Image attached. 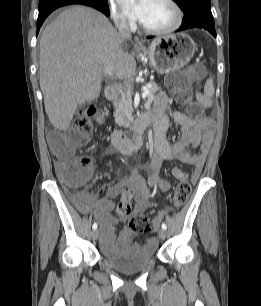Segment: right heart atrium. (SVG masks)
I'll return each mask as SVG.
<instances>
[{
	"label": "right heart atrium",
	"mask_w": 261,
	"mask_h": 306,
	"mask_svg": "<svg viewBox=\"0 0 261 306\" xmlns=\"http://www.w3.org/2000/svg\"><path fill=\"white\" fill-rule=\"evenodd\" d=\"M110 7L112 11L113 18L118 26L127 27L130 24L128 18L119 9L115 0H110Z\"/></svg>",
	"instance_id": "right-heart-atrium-1"
}]
</instances>
